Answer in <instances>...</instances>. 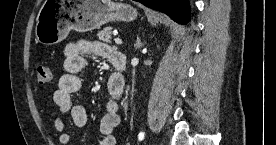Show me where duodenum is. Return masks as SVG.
<instances>
[{
    "label": "duodenum",
    "mask_w": 276,
    "mask_h": 145,
    "mask_svg": "<svg viewBox=\"0 0 276 145\" xmlns=\"http://www.w3.org/2000/svg\"><path fill=\"white\" fill-rule=\"evenodd\" d=\"M111 62L116 69V73L111 76L109 86L111 89L123 92L125 86L123 72L127 66V56L122 52H115L111 58Z\"/></svg>",
    "instance_id": "obj_1"
}]
</instances>
